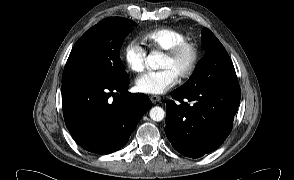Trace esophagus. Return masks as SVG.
<instances>
[{
  "label": "esophagus",
  "instance_id": "1",
  "mask_svg": "<svg viewBox=\"0 0 294 180\" xmlns=\"http://www.w3.org/2000/svg\"><path fill=\"white\" fill-rule=\"evenodd\" d=\"M150 99H151V101H152L153 104H156V103H158V102L161 101V98L159 96H156V95H152L150 97Z\"/></svg>",
  "mask_w": 294,
  "mask_h": 180
}]
</instances>
